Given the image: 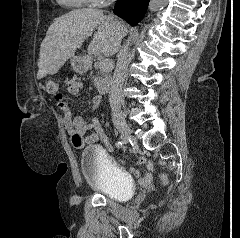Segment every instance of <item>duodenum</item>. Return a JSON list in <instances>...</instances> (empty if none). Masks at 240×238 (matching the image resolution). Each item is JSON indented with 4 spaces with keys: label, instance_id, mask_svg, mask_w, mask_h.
<instances>
[{
    "label": "duodenum",
    "instance_id": "410a0bca",
    "mask_svg": "<svg viewBox=\"0 0 240 238\" xmlns=\"http://www.w3.org/2000/svg\"><path fill=\"white\" fill-rule=\"evenodd\" d=\"M111 85V77L110 76H104L99 84L98 90L100 94H106L109 91Z\"/></svg>",
    "mask_w": 240,
    "mask_h": 238
}]
</instances>
